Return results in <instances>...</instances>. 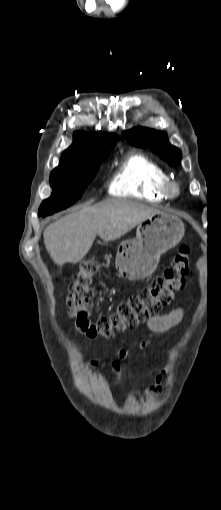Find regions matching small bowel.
<instances>
[{
    "label": "small bowel",
    "mask_w": 221,
    "mask_h": 510,
    "mask_svg": "<svg viewBox=\"0 0 221 510\" xmlns=\"http://www.w3.org/2000/svg\"><path fill=\"white\" fill-rule=\"evenodd\" d=\"M184 316V310L182 308H176L172 312L163 315H156L149 318L146 322V325L149 329L154 331H163L167 330L175 325H177ZM134 345L138 349H143L147 342L145 341H134ZM129 351L126 348H121L118 350L117 359L110 363V367L115 376V384H118L122 379V370H123V361L128 357ZM102 367V364L98 360H93L87 364V369L89 371H97ZM161 380L160 376L155 378L154 385H152L147 391L142 393V396L148 397L150 395H154L159 391V382Z\"/></svg>",
    "instance_id": "1"
}]
</instances>
